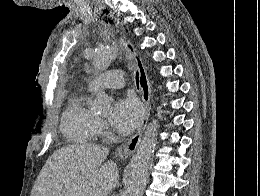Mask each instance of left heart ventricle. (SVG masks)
I'll return each instance as SVG.
<instances>
[{
    "label": "left heart ventricle",
    "instance_id": "obj_1",
    "mask_svg": "<svg viewBox=\"0 0 260 196\" xmlns=\"http://www.w3.org/2000/svg\"><path fill=\"white\" fill-rule=\"evenodd\" d=\"M100 116L105 117V116H107V115H100Z\"/></svg>",
    "mask_w": 260,
    "mask_h": 196
}]
</instances>
